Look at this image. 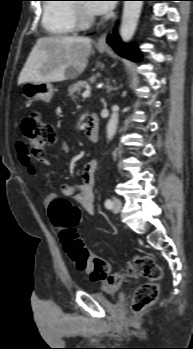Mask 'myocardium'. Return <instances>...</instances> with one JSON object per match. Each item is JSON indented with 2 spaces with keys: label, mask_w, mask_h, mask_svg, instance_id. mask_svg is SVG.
Listing matches in <instances>:
<instances>
[{
  "label": "myocardium",
  "mask_w": 193,
  "mask_h": 349,
  "mask_svg": "<svg viewBox=\"0 0 193 349\" xmlns=\"http://www.w3.org/2000/svg\"><path fill=\"white\" fill-rule=\"evenodd\" d=\"M94 22L93 15L87 10L86 5L77 2L75 4V24L78 29H85Z\"/></svg>",
  "instance_id": "f54148a6"
}]
</instances>
